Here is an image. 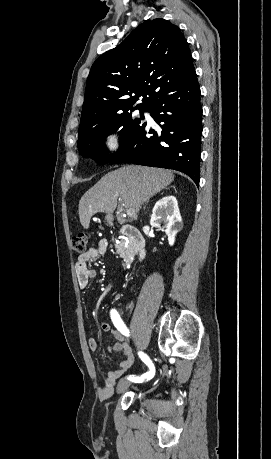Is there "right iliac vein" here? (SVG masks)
<instances>
[{"label":"right iliac vein","instance_id":"1","mask_svg":"<svg viewBox=\"0 0 271 459\" xmlns=\"http://www.w3.org/2000/svg\"><path fill=\"white\" fill-rule=\"evenodd\" d=\"M130 385L131 382L128 379H122L117 385V393L124 392Z\"/></svg>","mask_w":271,"mask_h":459}]
</instances>
